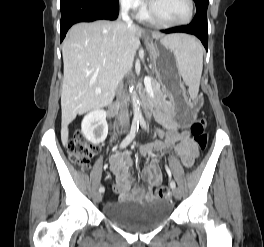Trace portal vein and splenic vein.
I'll use <instances>...</instances> for the list:
<instances>
[{"label": "portal vein and splenic vein", "instance_id": "portal-vein-and-splenic-vein-1", "mask_svg": "<svg viewBox=\"0 0 264 247\" xmlns=\"http://www.w3.org/2000/svg\"><path fill=\"white\" fill-rule=\"evenodd\" d=\"M144 81H145V83H150L151 80L149 77H145ZM96 93L100 94V91H97Z\"/></svg>", "mask_w": 264, "mask_h": 247}]
</instances>
